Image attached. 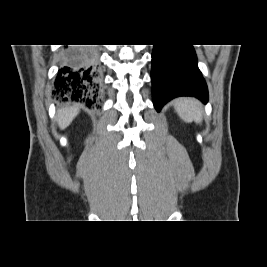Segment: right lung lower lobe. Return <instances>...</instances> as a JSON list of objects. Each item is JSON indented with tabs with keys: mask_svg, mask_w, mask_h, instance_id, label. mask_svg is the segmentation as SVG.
<instances>
[{
	"mask_svg": "<svg viewBox=\"0 0 267 267\" xmlns=\"http://www.w3.org/2000/svg\"><path fill=\"white\" fill-rule=\"evenodd\" d=\"M95 63L93 48L66 47L64 64L58 70L53 94L64 101L83 102L90 106L99 86Z\"/></svg>",
	"mask_w": 267,
	"mask_h": 267,
	"instance_id": "98d812e1",
	"label": "right lung lower lobe"
}]
</instances>
